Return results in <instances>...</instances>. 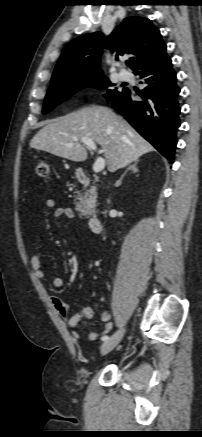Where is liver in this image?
<instances>
[{
	"label": "liver",
	"mask_w": 202,
	"mask_h": 437,
	"mask_svg": "<svg viewBox=\"0 0 202 437\" xmlns=\"http://www.w3.org/2000/svg\"><path fill=\"white\" fill-rule=\"evenodd\" d=\"M83 137L100 144L110 172L153 151L152 145L127 121L111 109L98 105L48 121L32 138L30 147L82 162L87 159V150L81 141Z\"/></svg>",
	"instance_id": "obj_1"
}]
</instances>
